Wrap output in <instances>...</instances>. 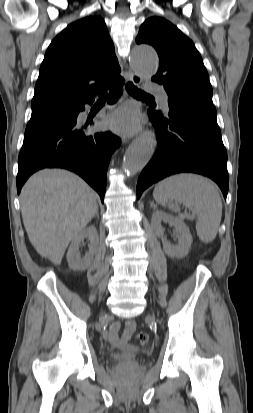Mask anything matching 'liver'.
<instances>
[{"label": "liver", "instance_id": "liver-1", "mask_svg": "<svg viewBox=\"0 0 253 413\" xmlns=\"http://www.w3.org/2000/svg\"><path fill=\"white\" fill-rule=\"evenodd\" d=\"M23 224L36 251L55 265L98 209L94 190L80 177L62 169L32 175L20 194Z\"/></svg>", "mask_w": 253, "mask_h": 413}]
</instances>
